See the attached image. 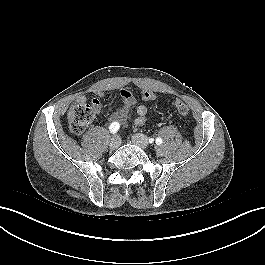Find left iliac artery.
Listing matches in <instances>:
<instances>
[{
  "label": "left iliac artery",
  "mask_w": 265,
  "mask_h": 265,
  "mask_svg": "<svg viewBox=\"0 0 265 265\" xmlns=\"http://www.w3.org/2000/svg\"><path fill=\"white\" fill-rule=\"evenodd\" d=\"M150 142H151V140H150ZM162 143V139L161 138H157L156 139V144L157 145H160Z\"/></svg>",
  "instance_id": "44dca946"
}]
</instances>
